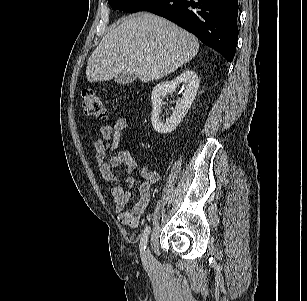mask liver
Segmentation results:
<instances>
[{
    "label": "liver",
    "instance_id": "liver-1",
    "mask_svg": "<svg viewBox=\"0 0 307 301\" xmlns=\"http://www.w3.org/2000/svg\"><path fill=\"white\" fill-rule=\"evenodd\" d=\"M198 50L197 38L188 31L157 15L138 13L102 38L88 59L86 77L108 81L129 72L147 83L189 62Z\"/></svg>",
    "mask_w": 307,
    "mask_h": 301
}]
</instances>
